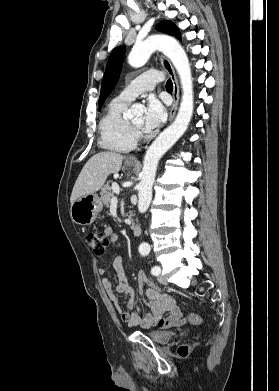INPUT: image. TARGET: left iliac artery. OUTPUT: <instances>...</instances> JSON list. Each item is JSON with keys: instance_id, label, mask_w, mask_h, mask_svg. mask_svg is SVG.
I'll list each match as a JSON object with an SVG mask.
<instances>
[{"instance_id": "obj_1", "label": "left iliac artery", "mask_w": 279, "mask_h": 391, "mask_svg": "<svg viewBox=\"0 0 279 391\" xmlns=\"http://www.w3.org/2000/svg\"><path fill=\"white\" fill-rule=\"evenodd\" d=\"M148 253H149V250H142L141 251L142 255H147ZM151 274L154 276H158L160 274V268L158 266L152 267Z\"/></svg>"}]
</instances>
